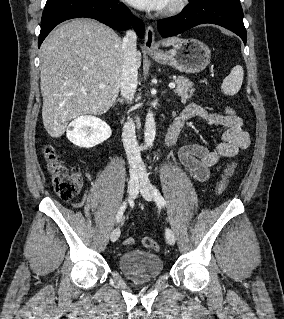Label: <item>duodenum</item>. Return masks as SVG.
Returning <instances> with one entry per match:
<instances>
[{
  "mask_svg": "<svg viewBox=\"0 0 284 319\" xmlns=\"http://www.w3.org/2000/svg\"><path fill=\"white\" fill-rule=\"evenodd\" d=\"M177 135H178V129L174 124H172L165 133V136H164L165 144L167 146L172 145L175 142Z\"/></svg>",
  "mask_w": 284,
  "mask_h": 319,
  "instance_id": "duodenum-1",
  "label": "duodenum"
}]
</instances>
